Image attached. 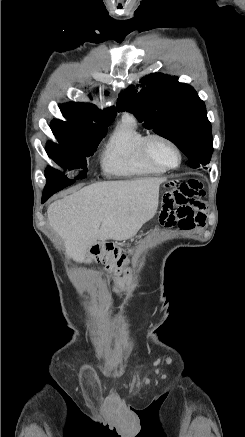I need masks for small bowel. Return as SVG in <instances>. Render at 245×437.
Wrapping results in <instances>:
<instances>
[{
  "mask_svg": "<svg viewBox=\"0 0 245 437\" xmlns=\"http://www.w3.org/2000/svg\"><path fill=\"white\" fill-rule=\"evenodd\" d=\"M176 190L163 199V208L158 211V224H164L166 229H200L206 220L205 203L198 198L202 194L201 182L192 178L185 183H177Z\"/></svg>",
  "mask_w": 245,
  "mask_h": 437,
  "instance_id": "obj_1",
  "label": "small bowel"
}]
</instances>
